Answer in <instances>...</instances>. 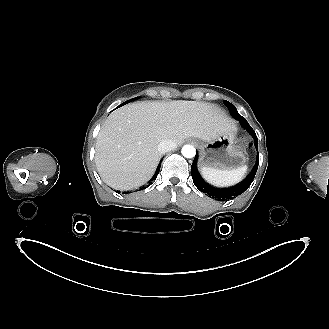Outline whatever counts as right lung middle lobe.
Returning <instances> with one entry per match:
<instances>
[{"instance_id":"right-lung-middle-lobe-1","label":"right lung middle lobe","mask_w":329,"mask_h":329,"mask_svg":"<svg viewBox=\"0 0 329 329\" xmlns=\"http://www.w3.org/2000/svg\"><path fill=\"white\" fill-rule=\"evenodd\" d=\"M136 99V98H135ZM132 100H134V99H132ZM129 101H126V102H124L123 104H121L120 106H118V107H121V106H123V105H125L126 103H128Z\"/></svg>"}]
</instances>
